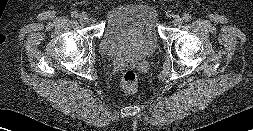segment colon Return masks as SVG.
Segmentation results:
<instances>
[{"label": "colon", "mask_w": 253, "mask_h": 131, "mask_svg": "<svg viewBox=\"0 0 253 131\" xmlns=\"http://www.w3.org/2000/svg\"><path fill=\"white\" fill-rule=\"evenodd\" d=\"M123 88L129 93H135L138 90V76L135 71L127 70L122 76Z\"/></svg>", "instance_id": "5ec220e1"}]
</instances>
